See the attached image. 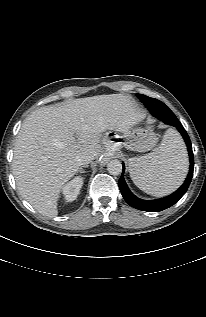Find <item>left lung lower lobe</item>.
<instances>
[{"label": "left lung lower lobe", "instance_id": "left-lung-lower-lobe-1", "mask_svg": "<svg viewBox=\"0 0 206 317\" xmlns=\"http://www.w3.org/2000/svg\"><path fill=\"white\" fill-rule=\"evenodd\" d=\"M147 104H148L147 108L152 113L153 116L162 120L166 124L176 127L178 131L181 133L188 149V154L190 159L189 173L183 185L176 192L158 200L147 201V200L139 199L129 190L123 177L125 167H124V164H122L123 172L119 179V188L123 198L130 206L142 211L159 212L177 203L180 200V198L186 193L193 176L194 156H193L189 136L187 132L185 131L184 127L182 126V124L173 114V112L166 105H156L152 102Z\"/></svg>", "mask_w": 206, "mask_h": 317}]
</instances>
